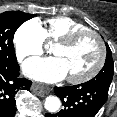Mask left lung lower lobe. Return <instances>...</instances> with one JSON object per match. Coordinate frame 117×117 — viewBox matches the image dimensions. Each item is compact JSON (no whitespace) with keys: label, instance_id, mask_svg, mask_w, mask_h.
Returning <instances> with one entry per match:
<instances>
[{"label":"left lung lower lobe","instance_id":"1","mask_svg":"<svg viewBox=\"0 0 117 117\" xmlns=\"http://www.w3.org/2000/svg\"><path fill=\"white\" fill-rule=\"evenodd\" d=\"M55 94L62 100L64 109L46 117H94L104 105L108 90L86 82L75 86L55 87Z\"/></svg>","mask_w":117,"mask_h":117}]
</instances>
